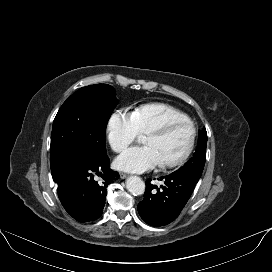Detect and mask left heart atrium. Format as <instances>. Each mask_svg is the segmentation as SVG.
I'll return each instance as SVG.
<instances>
[{
  "mask_svg": "<svg viewBox=\"0 0 272 272\" xmlns=\"http://www.w3.org/2000/svg\"><path fill=\"white\" fill-rule=\"evenodd\" d=\"M161 163L158 153L149 145L131 147L115 159L116 168L131 173L145 172Z\"/></svg>",
  "mask_w": 272,
  "mask_h": 272,
  "instance_id": "1",
  "label": "left heart atrium"
}]
</instances>
